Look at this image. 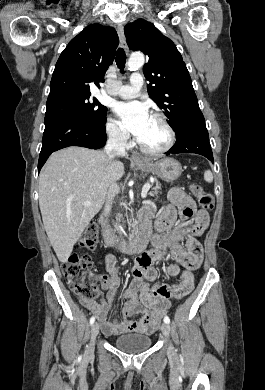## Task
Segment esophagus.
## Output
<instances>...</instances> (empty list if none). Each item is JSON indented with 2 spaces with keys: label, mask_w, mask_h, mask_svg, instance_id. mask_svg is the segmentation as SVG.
Instances as JSON below:
<instances>
[{
  "label": "esophagus",
  "mask_w": 265,
  "mask_h": 390,
  "mask_svg": "<svg viewBox=\"0 0 265 390\" xmlns=\"http://www.w3.org/2000/svg\"><path fill=\"white\" fill-rule=\"evenodd\" d=\"M117 32H118V36H119V41H120V45L121 47L125 50L126 53H128V46H127V43H126V38H125V35H124V30H123V26L121 24L118 25L117 27ZM131 160L133 162H142V159L138 156H135L133 155L131 157Z\"/></svg>",
  "instance_id": "1"
}]
</instances>
